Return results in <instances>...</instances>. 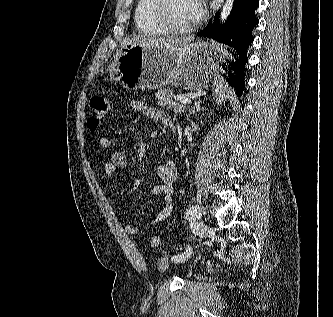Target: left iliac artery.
<instances>
[{
    "mask_svg": "<svg viewBox=\"0 0 333 317\" xmlns=\"http://www.w3.org/2000/svg\"><path fill=\"white\" fill-rule=\"evenodd\" d=\"M200 212H201V207L199 205H192L187 212L186 218L189 220H194L200 215ZM191 254H192V248L191 246L188 245L184 253L173 256L172 260H174L175 262L185 261L191 256Z\"/></svg>",
    "mask_w": 333,
    "mask_h": 317,
    "instance_id": "left-iliac-artery-1",
    "label": "left iliac artery"
}]
</instances>
